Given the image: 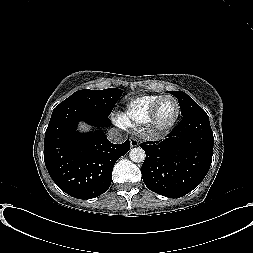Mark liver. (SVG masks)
<instances>
[{"mask_svg": "<svg viewBox=\"0 0 253 253\" xmlns=\"http://www.w3.org/2000/svg\"><path fill=\"white\" fill-rule=\"evenodd\" d=\"M79 130L80 131H84V132L89 131L90 130V126L87 125V124H85V123H80L79 124Z\"/></svg>", "mask_w": 253, "mask_h": 253, "instance_id": "liver-1", "label": "liver"}]
</instances>
